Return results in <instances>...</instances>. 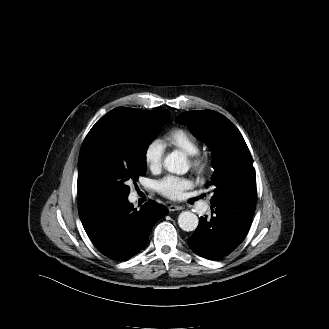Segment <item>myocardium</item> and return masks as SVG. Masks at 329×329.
Wrapping results in <instances>:
<instances>
[{
	"label": "myocardium",
	"mask_w": 329,
	"mask_h": 329,
	"mask_svg": "<svg viewBox=\"0 0 329 329\" xmlns=\"http://www.w3.org/2000/svg\"><path fill=\"white\" fill-rule=\"evenodd\" d=\"M190 163L192 168L199 174L205 173L210 166L209 158L204 155H200L199 153L191 155Z\"/></svg>",
	"instance_id": "myocardium-1"
}]
</instances>
